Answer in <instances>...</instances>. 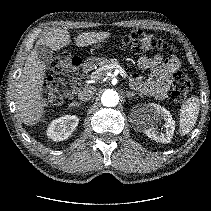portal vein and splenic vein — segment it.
Wrapping results in <instances>:
<instances>
[{"label": "portal vein and splenic vein", "mask_w": 211, "mask_h": 211, "mask_svg": "<svg viewBox=\"0 0 211 211\" xmlns=\"http://www.w3.org/2000/svg\"><path fill=\"white\" fill-rule=\"evenodd\" d=\"M114 68H118V72L120 73V75L123 77V78H126V72H125V70L122 68V67H120V66H114ZM100 76L98 75V74H94L93 75V78H96V79H98Z\"/></svg>", "instance_id": "portal-vein-and-splenic-vein-1"}]
</instances>
